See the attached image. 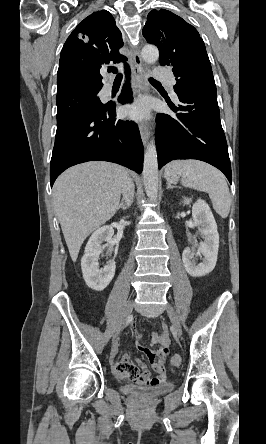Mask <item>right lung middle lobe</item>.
I'll use <instances>...</instances> for the list:
<instances>
[{"instance_id":"obj_1","label":"right lung middle lobe","mask_w":266,"mask_h":444,"mask_svg":"<svg viewBox=\"0 0 266 444\" xmlns=\"http://www.w3.org/2000/svg\"><path fill=\"white\" fill-rule=\"evenodd\" d=\"M98 92H76L56 97L57 127L76 117L92 115L101 110L105 104L97 97Z\"/></svg>"}]
</instances>
